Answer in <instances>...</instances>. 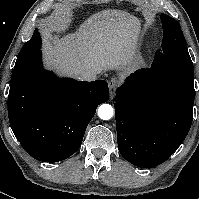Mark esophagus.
I'll use <instances>...</instances> for the list:
<instances>
[{
    "label": "esophagus",
    "instance_id": "esophagus-1",
    "mask_svg": "<svg viewBox=\"0 0 199 199\" xmlns=\"http://www.w3.org/2000/svg\"><path fill=\"white\" fill-rule=\"evenodd\" d=\"M117 86H118V81L116 79H111L109 81V98H110V100H113Z\"/></svg>",
    "mask_w": 199,
    "mask_h": 199
}]
</instances>
